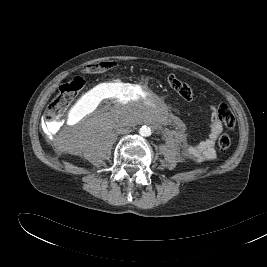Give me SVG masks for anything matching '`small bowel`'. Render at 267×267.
<instances>
[{
  "mask_svg": "<svg viewBox=\"0 0 267 267\" xmlns=\"http://www.w3.org/2000/svg\"><path fill=\"white\" fill-rule=\"evenodd\" d=\"M210 133L206 140L189 145L183 144V154L197 162L212 160L216 157L215 143L224 129V124L218 114V106H210Z\"/></svg>",
  "mask_w": 267,
  "mask_h": 267,
  "instance_id": "obj_1",
  "label": "small bowel"
}]
</instances>
